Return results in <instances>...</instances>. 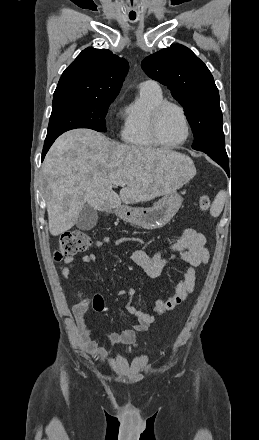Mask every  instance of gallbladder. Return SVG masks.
Here are the masks:
<instances>
[{
    "mask_svg": "<svg viewBox=\"0 0 259 440\" xmlns=\"http://www.w3.org/2000/svg\"><path fill=\"white\" fill-rule=\"evenodd\" d=\"M98 222V213L89 205H84L78 215L76 227L80 230H91Z\"/></svg>",
    "mask_w": 259,
    "mask_h": 440,
    "instance_id": "bac80fb5",
    "label": "gallbladder"
}]
</instances>
